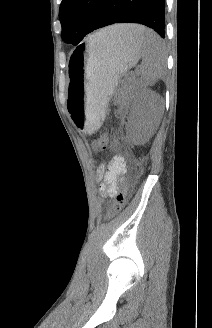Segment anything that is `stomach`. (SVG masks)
Segmentation results:
<instances>
[{
  "label": "stomach",
  "instance_id": "obj_1",
  "mask_svg": "<svg viewBox=\"0 0 212 328\" xmlns=\"http://www.w3.org/2000/svg\"><path fill=\"white\" fill-rule=\"evenodd\" d=\"M140 58V47L129 41H90L79 45L69 61L68 111L79 130L99 127L110 92Z\"/></svg>",
  "mask_w": 212,
  "mask_h": 328
}]
</instances>
